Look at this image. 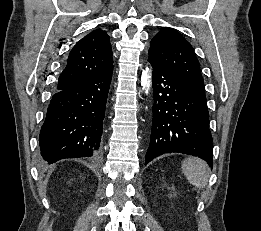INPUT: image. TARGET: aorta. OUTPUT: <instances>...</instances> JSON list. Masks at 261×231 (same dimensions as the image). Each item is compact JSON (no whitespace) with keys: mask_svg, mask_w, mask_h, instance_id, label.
Listing matches in <instances>:
<instances>
[{"mask_svg":"<svg viewBox=\"0 0 261 231\" xmlns=\"http://www.w3.org/2000/svg\"><path fill=\"white\" fill-rule=\"evenodd\" d=\"M151 69L150 68H146V70H144L142 72L141 75V85L143 87V90H145V93L148 94L150 87H151Z\"/></svg>","mask_w":261,"mask_h":231,"instance_id":"1","label":"aorta"}]
</instances>
